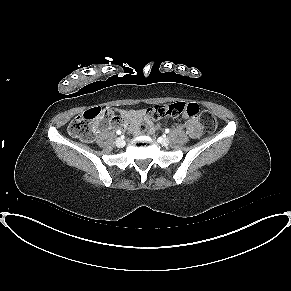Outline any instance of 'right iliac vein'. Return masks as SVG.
<instances>
[{"mask_svg":"<svg viewBox=\"0 0 291 291\" xmlns=\"http://www.w3.org/2000/svg\"><path fill=\"white\" fill-rule=\"evenodd\" d=\"M115 144L117 147L122 148L125 146V141L122 138H117Z\"/></svg>","mask_w":291,"mask_h":291,"instance_id":"obj_1","label":"right iliac vein"}]
</instances>
